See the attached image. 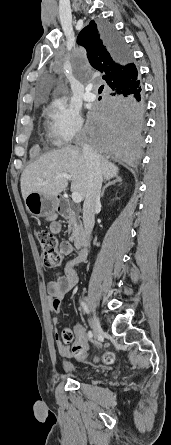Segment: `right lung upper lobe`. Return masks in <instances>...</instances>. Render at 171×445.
Segmentation results:
<instances>
[{
	"mask_svg": "<svg viewBox=\"0 0 171 445\" xmlns=\"http://www.w3.org/2000/svg\"><path fill=\"white\" fill-rule=\"evenodd\" d=\"M77 43L86 48L90 64L103 73V79L111 90L139 79L132 59L130 58L126 64L118 61L109 50L99 26H96L94 21L79 33Z\"/></svg>",
	"mask_w": 171,
	"mask_h": 445,
	"instance_id": "right-lung-upper-lobe-1",
	"label": "right lung upper lobe"
}]
</instances>
